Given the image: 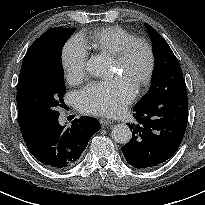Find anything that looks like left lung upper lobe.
I'll return each instance as SVG.
<instances>
[{
	"instance_id": "5c2ea615",
	"label": "left lung upper lobe",
	"mask_w": 205,
	"mask_h": 205,
	"mask_svg": "<svg viewBox=\"0 0 205 205\" xmlns=\"http://www.w3.org/2000/svg\"><path fill=\"white\" fill-rule=\"evenodd\" d=\"M154 47L155 68L148 93L134 108L152 103L186 89L180 64L164 38L150 25H145Z\"/></svg>"
}]
</instances>
